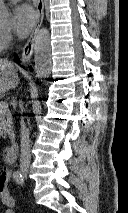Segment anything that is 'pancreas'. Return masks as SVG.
<instances>
[{"mask_svg": "<svg viewBox=\"0 0 128 213\" xmlns=\"http://www.w3.org/2000/svg\"><path fill=\"white\" fill-rule=\"evenodd\" d=\"M0 136L6 138L13 136V121L10 110H0Z\"/></svg>", "mask_w": 128, "mask_h": 213, "instance_id": "obj_1", "label": "pancreas"}]
</instances>
